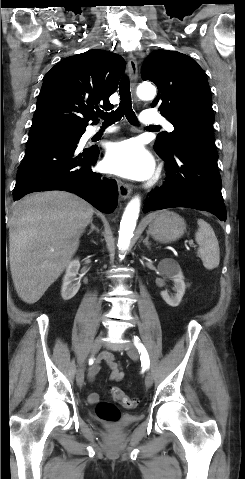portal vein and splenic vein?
I'll return each instance as SVG.
<instances>
[{
  "label": "portal vein and splenic vein",
  "instance_id": "1",
  "mask_svg": "<svg viewBox=\"0 0 245 479\" xmlns=\"http://www.w3.org/2000/svg\"><path fill=\"white\" fill-rule=\"evenodd\" d=\"M189 245H190V246H191V245H193V242H192V241H190V242H189Z\"/></svg>",
  "mask_w": 245,
  "mask_h": 479
}]
</instances>
